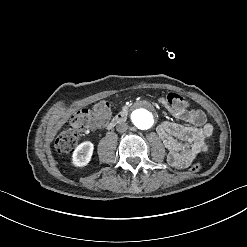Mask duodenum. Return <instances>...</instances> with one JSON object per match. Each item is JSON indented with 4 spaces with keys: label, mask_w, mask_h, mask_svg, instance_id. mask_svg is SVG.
<instances>
[{
    "label": "duodenum",
    "mask_w": 247,
    "mask_h": 247,
    "mask_svg": "<svg viewBox=\"0 0 247 247\" xmlns=\"http://www.w3.org/2000/svg\"><path fill=\"white\" fill-rule=\"evenodd\" d=\"M128 108H122L117 112L113 119L108 123V128L114 127L116 124L122 122L128 115Z\"/></svg>",
    "instance_id": "410a0bca"
}]
</instances>
